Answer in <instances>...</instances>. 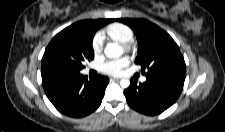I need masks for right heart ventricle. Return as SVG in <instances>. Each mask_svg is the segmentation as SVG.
Masks as SVG:
<instances>
[{"mask_svg": "<svg viewBox=\"0 0 225 132\" xmlns=\"http://www.w3.org/2000/svg\"><path fill=\"white\" fill-rule=\"evenodd\" d=\"M105 34L111 40L125 44L132 42L134 38L133 30L123 23H112L105 29Z\"/></svg>", "mask_w": 225, "mask_h": 132, "instance_id": "e07e8e85", "label": "right heart ventricle"}]
</instances>
